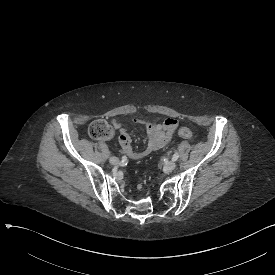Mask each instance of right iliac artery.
<instances>
[{
    "instance_id": "right-iliac-artery-1",
    "label": "right iliac artery",
    "mask_w": 275,
    "mask_h": 275,
    "mask_svg": "<svg viewBox=\"0 0 275 275\" xmlns=\"http://www.w3.org/2000/svg\"><path fill=\"white\" fill-rule=\"evenodd\" d=\"M126 160H127V158L123 156L122 157V161H126Z\"/></svg>"
}]
</instances>
